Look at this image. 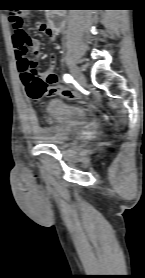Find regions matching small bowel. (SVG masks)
<instances>
[{
	"label": "small bowel",
	"mask_w": 145,
	"mask_h": 278,
	"mask_svg": "<svg viewBox=\"0 0 145 278\" xmlns=\"http://www.w3.org/2000/svg\"><path fill=\"white\" fill-rule=\"evenodd\" d=\"M27 15V14H26ZM38 30L41 31L48 41H54L56 34L51 29H49L45 23L38 24ZM14 45H16L14 39ZM42 44L39 40L31 38V43L22 46L20 45L17 47L19 50L25 49L26 52L28 49L32 50H39ZM17 60V71L19 75L20 82L24 88L26 95L33 101L41 102L44 98L52 95H61L64 97H71L70 95L66 94L61 86L56 84L57 77L53 71L54 62H52L51 67L49 70L45 72H41L40 74H35V62L27 57H18L16 55ZM31 92L35 93V96H31ZM28 124L30 125V129L33 133L38 134L40 132V125L37 118L32 115L29 120Z\"/></svg>",
	"instance_id": "obj_1"
}]
</instances>
